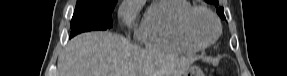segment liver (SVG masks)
<instances>
[{"instance_id":"1","label":"liver","mask_w":287,"mask_h":76,"mask_svg":"<svg viewBox=\"0 0 287 76\" xmlns=\"http://www.w3.org/2000/svg\"><path fill=\"white\" fill-rule=\"evenodd\" d=\"M195 57L141 50L109 32L74 37L58 57V76H182Z\"/></svg>"}]
</instances>
